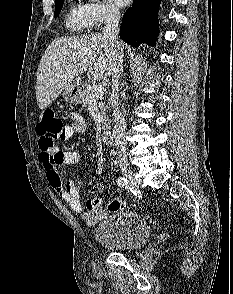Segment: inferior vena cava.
I'll list each match as a JSON object with an SVG mask.
<instances>
[{
  "instance_id": "602c4592",
  "label": "inferior vena cava",
  "mask_w": 233,
  "mask_h": 294,
  "mask_svg": "<svg viewBox=\"0 0 233 294\" xmlns=\"http://www.w3.org/2000/svg\"><path fill=\"white\" fill-rule=\"evenodd\" d=\"M119 20L120 11L116 7H110L103 29V37L110 40L117 49H121L122 43L119 41ZM123 71L122 56L116 58L112 74V87L110 93V105L113 111V134L115 138V149L121 166L127 164L125 131L126 122L119 110V79Z\"/></svg>"
}]
</instances>
